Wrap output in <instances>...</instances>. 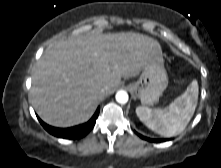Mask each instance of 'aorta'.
Returning a JSON list of instances; mask_svg holds the SVG:
<instances>
[{
	"instance_id": "aorta-1",
	"label": "aorta",
	"mask_w": 221,
	"mask_h": 168,
	"mask_svg": "<svg viewBox=\"0 0 221 168\" xmlns=\"http://www.w3.org/2000/svg\"><path fill=\"white\" fill-rule=\"evenodd\" d=\"M116 101L120 104H125L128 101V94L124 90H119L116 93Z\"/></svg>"
}]
</instances>
